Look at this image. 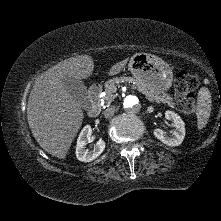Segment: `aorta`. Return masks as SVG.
Wrapping results in <instances>:
<instances>
[{"label": "aorta", "instance_id": "1", "mask_svg": "<svg viewBox=\"0 0 221 221\" xmlns=\"http://www.w3.org/2000/svg\"><path fill=\"white\" fill-rule=\"evenodd\" d=\"M139 98L135 95H128L123 101V107L127 113H136L140 109Z\"/></svg>", "mask_w": 221, "mask_h": 221}]
</instances>
